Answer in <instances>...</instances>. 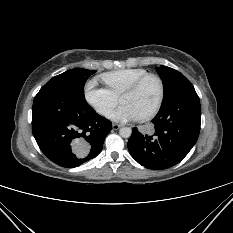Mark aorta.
I'll use <instances>...</instances> for the list:
<instances>
[{
	"mask_svg": "<svg viewBox=\"0 0 233 233\" xmlns=\"http://www.w3.org/2000/svg\"><path fill=\"white\" fill-rule=\"evenodd\" d=\"M119 134L123 138H129L132 134V130L130 127H122L119 129Z\"/></svg>",
	"mask_w": 233,
	"mask_h": 233,
	"instance_id": "762f6f07",
	"label": "aorta"
}]
</instances>
